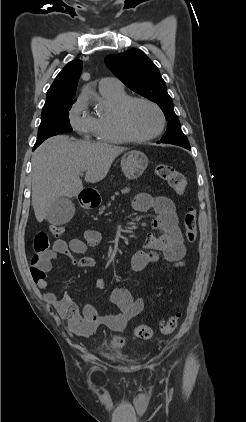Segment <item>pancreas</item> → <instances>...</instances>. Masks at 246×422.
<instances>
[{
    "label": "pancreas",
    "instance_id": "obj_1",
    "mask_svg": "<svg viewBox=\"0 0 246 422\" xmlns=\"http://www.w3.org/2000/svg\"><path fill=\"white\" fill-rule=\"evenodd\" d=\"M129 191H130V189H129V188H125V189H123V190H122V192H123V193H128ZM115 195H119V193H118V192H116V193H115ZM112 199H114V197H112ZM105 208H106L105 206H102V207L100 208V211L102 212L103 210H105Z\"/></svg>",
    "mask_w": 246,
    "mask_h": 422
}]
</instances>
